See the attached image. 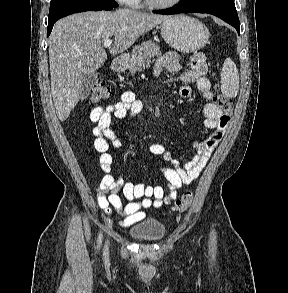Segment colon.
Instances as JSON below:
<instances>
[{
  "label": "colon",
  "instance_id": "obj_1",
  "mask_svg": "<svg viewBox=\"0 0 288 293\" xmlns=\"http://www.w3.org/2000/svg\"><path fill=\"white\" fill-rule=\"evenodd\" d=\"M110 95V88L106 86L103 81H96L92 87L90 99L93 103H98L107 99ZM215 99L224 114L229 117L228 115L232 111L231 100L222 94L216 95ZM192 201L193 193L191 191H187L175 202V204L171 207V211L174 213H182L190 207Z\"/></svg>",
  "mask_w": 288,
  "mask_h": 293
}]
</instances>
